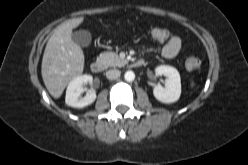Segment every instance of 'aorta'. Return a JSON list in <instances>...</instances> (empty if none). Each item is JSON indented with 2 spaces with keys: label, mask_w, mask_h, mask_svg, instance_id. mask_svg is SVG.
I'll use <instances>...</instances> for the list:
<instances>
[{
  "label": "aorta",
  "mask_w": 248,
  "mask_h": 165,
  "mask_svg": "<svg viewBox=\"0 0 248 165\" xmlns=\"http://www.w3.org/2000/svg\"><path fill=\"white\" fill-rule=\"evenodd\" d=\"M124 78L128 82H132L135 79V74L133 71H127L124 75Z\"/></svg>",
  "instance_id": "obj_1"
}]
</instances>
